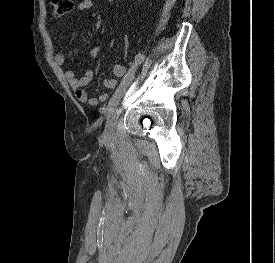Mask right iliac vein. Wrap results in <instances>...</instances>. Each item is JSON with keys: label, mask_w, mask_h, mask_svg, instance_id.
<instances>
[{"label": "right iliac vein", "mask_w": 275, "mask_h": 263, "mask_svg": "<svg viewBox=\"0 0 275 263\" xmlns=\"http://www.w3.org/2000/svg\"><path fill=\"white\" fill-rule=\"evenodd\" d=\"M123 94L114 102V104L109 108L107 112V123L105 130L103 132V140L106 143H109L112 139L114 128H115V121L118 117L120 111V104L122 101Z\"/></svg>", "instance_id": "1"}]
</instances>
